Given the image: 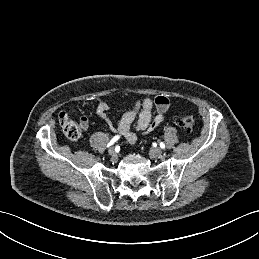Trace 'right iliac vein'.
I'll use <instances>...</instances> for the list:
<instances>
[{"instance_id":"right-iliac-vein-1","label":"right iliac vein","mask_w":259,"mask_h":259,"mask_svg":"<svg viewBox=\"0 0 259 259\" xmlns=\"http://www.w3.org/2000/svg\"><path fill=\"white\" fill-rule=\"evenodd\" d=\"M108 153L112 157L113 160L117 159V153L113 147L108 150Z\"/></svg>"}]
</instances>
